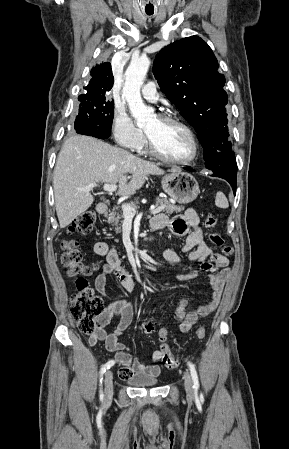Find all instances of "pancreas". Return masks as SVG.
Listing matches in <instances>:
<instances>
[{
	"instance_id": "1",
	"label": "pancreas",
	"mask_w": 289,
	"mask_h": 449,
	"mask_svg": "<svg viewBox=\"0 0 289 449\" xmlns=\"http://www.w3.org/2000/svg\"><path fill=\"white\" fill-rule=\"evenodd\" d=\"M130 207L136 209L137 208V202H130L128 204ZM158 205H164L165 206V211L170 214L173 212L179 213L184 211V207L183 206H177V205H173L171 202H169L166 199H160L157 198L156 200V206ZM124 219V215L123 214H119L115 211L111 212L108 217H107V222L113 226H115V230L116 232H121L120 229V222L122 223Z\"/></svg>"
}]
</instances>
